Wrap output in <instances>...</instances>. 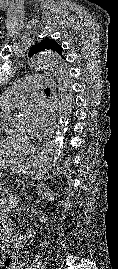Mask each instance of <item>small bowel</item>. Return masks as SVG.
Instances as JSON below:
<instances>
[{"mask_svg":"<svg viewBox=\"0 0 118 269\" xmlns=\"http://www.w3.org/2000/svg\"><path fill=\"white\" fill-rule=\"evenodd\" d=\"M8 211L9 208L6 207L1 208L2 216L0 217V246L3 248L6 247L22 248L24 246V240L21 235L15 233L12 230L10 221L6 215ZM11 263H13L14 265L16 262L11 261ZM2 268L3 269L7 268L6 263L2 264Z\"/></svg>","mask_w":118,"mask_h":269,"instance_id":"obj_1","label":"small bowel"}]
</instances>
